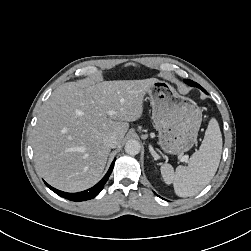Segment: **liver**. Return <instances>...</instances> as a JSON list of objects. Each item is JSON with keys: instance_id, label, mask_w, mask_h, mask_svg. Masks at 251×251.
<instances>
[{"instance_id": "6515ba94", "label": "liver", "mask_w": 251, "mask_h": 251, "mask_svg": "<svg viewBox=\"0 0 251 251\" xmlns=\"http://www.w3.org/2000/svg\"><path fill=\"white\" fill-rule=\"evenodd\" d=\"M157 79L67 82L42 105L33 131L35 165L53 187L79 192L100 179L116 135L142 116L147 90Z\"/></svg>"}]
</instances>
